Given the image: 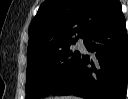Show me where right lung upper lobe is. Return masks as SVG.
<instances>
[{"label":"right lung upper lobe","instance_id":"obj_1","mask_svg":"<svg viewBox=\"0 0 128 99\" xmlns=\"http://www.w3.org/2000/svg\"><path fill=\"white\" fill-rule=\"evenodd\" d=\"M120 5L118 0L45 1L29 27L28 58L84 39Z\"/></svg>","mask_w":128,"mask_h":99}]
</instances>
